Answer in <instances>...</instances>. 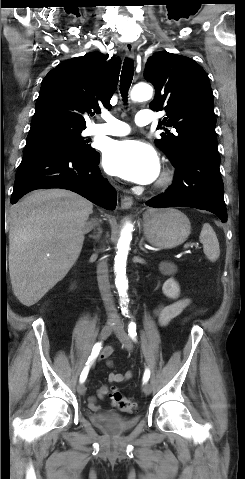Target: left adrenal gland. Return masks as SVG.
<instances>
[{
	"mask_svg": "<svg viewBox=\"0 0 245 479\" xmlns=\"http://www.w3.org/2000/svg\"><path fill=\"white\" fill-rule=\"evenodd\" d=\"M143 241H144V238H141L140 243H139V248H140L142 251H144L145 253H147V251H146V250L144 249V247H143Z\"/></svg>",
	"mask_w": 245,
	"mask_h": 479,
	"instance_id": "left-adrenal-gland-1",
	"label": "left adrenal gland"
}]
</instances>
